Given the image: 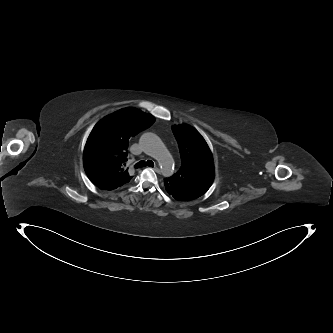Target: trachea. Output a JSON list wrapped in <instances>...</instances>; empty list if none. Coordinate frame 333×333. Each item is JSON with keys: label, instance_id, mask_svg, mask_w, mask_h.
<instances>
[{"label": "trachea", "instance_id": "obj_1", "mask_svg": "<svg viewBox=\"0 0 333 333\" xmlns=\"http://www.w3.org/2000/svg\"><path fill=\"white\" fill-rule=\"evenodd\" d=\"M145 166L154 167V163H153V161L148 160L147 162L140 161V162H138L134 165L135 168H142V167H145Z\"/></svg>", "mask_w": 333, "mask_h": 333}]
</instances>
